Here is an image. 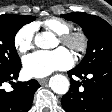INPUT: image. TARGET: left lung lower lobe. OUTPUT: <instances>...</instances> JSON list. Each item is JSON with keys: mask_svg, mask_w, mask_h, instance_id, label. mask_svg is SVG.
<instances>
[{"mask_svg": "<svg viewBox=\"0 0 112 112\" xmlns=\"http://www.w3.org/2000/svg\"><path fill=\"white\" fill-rule=\"evenodd\" d=\"M71 79L69 92L61 99L66 112H110L112 110V63L89 70L76 67L68 72ZM76 75L80 81L72 79ZM87 75L91 78L88 79Z\"/></svg>", "mask_w": 112, "mask_h": 112, "instance_id": "1", "label": "left lung lower lobe"}]
</instances>
